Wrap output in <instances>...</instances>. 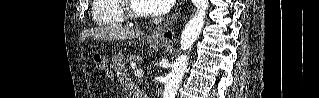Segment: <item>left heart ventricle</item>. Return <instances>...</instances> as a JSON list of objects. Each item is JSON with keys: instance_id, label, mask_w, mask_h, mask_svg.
Segmentation results:
<instances>
[{"instance_id": "obj_1", "label": "left heart ventricle", "mask_w": 319, "mask_h": 98, "mask_svg": "<svg viewBox=\"0 0 319 98\" xmlns=\"http://www.w3.org/2000/svg\"><path fill=\"white\" fill-rule=\"evenodd\" d=\"M132 5H133V8H134L136 11H138V12H144V11H145L144 8H143V6H142L141 1H139V0L133 1V2H132Z\"/></svg>"}]
</instances>
